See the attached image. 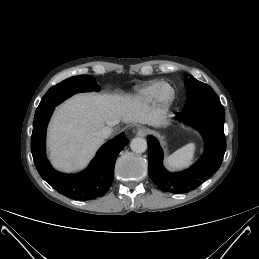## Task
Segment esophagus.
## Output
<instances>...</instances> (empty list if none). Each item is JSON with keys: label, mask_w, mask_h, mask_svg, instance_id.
Segmentation results:
<instances>
[{"label": "esophagus", "mask_w": 259, "mask_h": 259, "mask_svg": "<svg viewBox=\"0 0 259 259\" xmlns=\"http://www.w3.org/2000/svg\"><path fill=\"white\" fill-rule=\"evenodd\" d=\"M136 134L140 137H145L148 134V129L145 127H139L137 128Z\"/></svg>", "instance_id": "34e87169"}]
</instances>
